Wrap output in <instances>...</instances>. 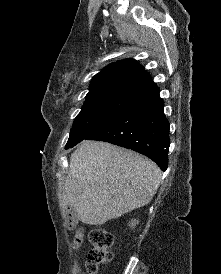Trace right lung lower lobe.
Returning <instances> with one entry per match:
<instances>
[{
    "mask_svg": "<svg viewBox=\"0 0 221 274\" xmlns=\"http://www.w3.org/2000/svg\"><path fill=\"white\" fill-rule=\"evenodd\" d=\"M158 87L134 100L112 121L88 138L139 152L163 171L168 167L169 122Z\"/></svg>",
    "mask_w": 221,
    "mask_h": 274,
    "instance_id": "right-lung-lower-lobe-1",
    "label": "right lung lower lobe"
}]
</instances>
